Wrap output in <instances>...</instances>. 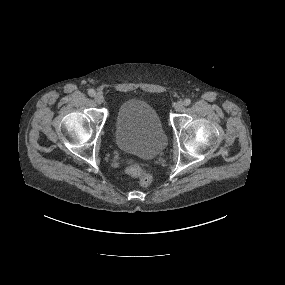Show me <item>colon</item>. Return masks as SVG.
<instances>
[{
	"label": "colon",
	"instance_id": "5ec220e1",
	"mask_svg": "<svg viewBox=\"0 0 285 285\" xmlns=\"http://www.w3.org/2000/svg\"><path fill=\"white\" fill-rule=\"evenodd\" d=\"M125 171L128 175L137 178L141 186H149L152 182V175L148 170H143L138 161L131 159L126 162Z\"/></svg>",
	"mask_w": 285,
	"mask_h": 285
}]
</instances>
